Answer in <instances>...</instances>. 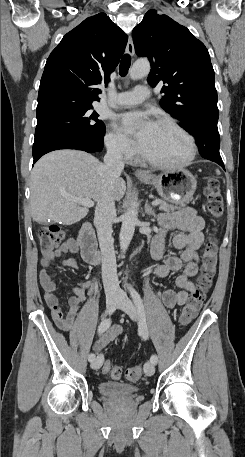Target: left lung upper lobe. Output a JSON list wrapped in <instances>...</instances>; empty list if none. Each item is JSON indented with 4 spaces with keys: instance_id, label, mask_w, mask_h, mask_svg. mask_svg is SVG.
Segmentation results:
<instances>
[{
    "instance_id": "5c2ea615",
    "label": "left lung upper lobe",
    "mask_w": 245,
    "mask_h": 457,
    "mask_svg": "<svg viewBox=\"0 0 245 457\" xmlns=\"http://www.w3.org/2000/svg\"><path fill=\"white\" fill-rule=\"evenodd\" d=\"M136 54L151 64L148 83L163 82L161 107L182 122L218 121L215 73L204 44L184 26L155 10L148 11L132 32Z\"/></svg>"
}]
</instances>
